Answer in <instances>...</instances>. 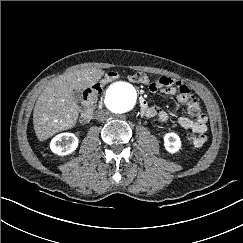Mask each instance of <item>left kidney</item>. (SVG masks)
Masks as SVG:
<instances>
[{
	"label": "left kidney",
	"instance_id": "obj_1",
	"mask_svg": "<svg viewBox=\"0 0 243 243\" xmlns=\"http://www.w3.org/2000/svg\"><path fill=\"white\" fill-rule=\"evenodd\" d=\"M164 146L165 149L170 153H176L181 148V140L180 137L174 133H166L164 135Z\"/></svg>",
	"mask_w": 243,
	"mask_h": 243
}]
</instances>
